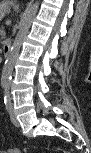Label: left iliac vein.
Segmentation results:
<instances>
[{
    "label": "left iliac vein",
    "instance_id": "4c4485c4",
    "mask_svg": "<svg viewBox=\"0 0 91 153\" xmlns=\"http://www.w3.org/2000/svg\"><path fill=\"white\" fill-rule=\"evenodd\" d=\"M9 112H10V118H11L12 123L14 124V126L19 127L20 124H19V121L17 120V118L15 116L13 108H11V110Z\"/></svg>",
    "mask_w": 91,
    "mask_h": 153
}]
</instances>
